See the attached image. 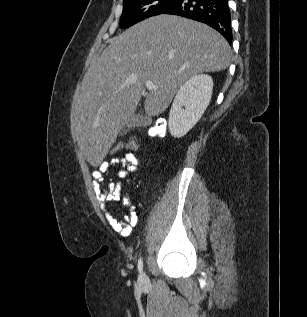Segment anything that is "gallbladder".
Instances as JSON below:
<instances>
[{"label":"gallbladder","mask_w":307,"mask_h":317,"mask_svg":"<svg viewBox=\"0 0 307 317\" xmlns=\"http://www.w3.org/2000/svg\"><path fill=\"white\" fill-rule=\"evenodd\" d=\"M143 124V116L139 113H133L125 124V130L139 127Z\"/></svg>","instance_id":"1"}]
</instances>
